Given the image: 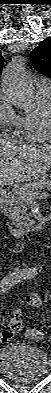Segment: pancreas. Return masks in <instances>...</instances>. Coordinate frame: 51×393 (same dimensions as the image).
Returning a JSON list of instances; mask_svg holds the SVG:
<instances>
[{
  "instance_id": "pancreas-1",
  "label": "pancreas",
  "mask_w": 51,
  "mask_h": 393,
  "mask_svg": "<svg viewBox=\"0 0 51 393\" xmlns=\"http://www.w3.org/2000/svg\"><path fill=\"white\" fill-rule=\"evenodd\" d=\"M51 188V179L47 176L36 179L29 184L16 188L8 199L9 219L18 228H25L32 224V220L27 216V204L30 200L26 194L37 193L39 189Z\"/></svg>"
}]
</instances>
